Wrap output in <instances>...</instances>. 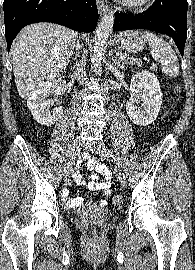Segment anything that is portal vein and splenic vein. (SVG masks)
<instances>
[{
    "label": "portal vein and splenic vein",
    "mask_w": 195,
    "mask_h": 270,
    "mask_svg": "<svg viewBox=\"0 0 195 270\" xmlns=\"http://www.w3.org/2000/svg\"><path fill=\"white\" fill-rule=\"evenodd\" d=\"M117 55H118L120 58L123 57V53H121V52H118Z\"/></svg>",
    "instance_id": "18ae733b"
}]
</instances>
